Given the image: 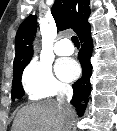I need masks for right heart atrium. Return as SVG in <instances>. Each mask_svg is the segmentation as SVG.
I'll use <instances>...</instances> for the list:
<instances>
[{
  "instance_id": "d8ad5b80",
  "label": "right heart atrium",
  "mask_w": 117,
  "mask_h": 131,
  "mask_svg": "<svg viewBox=\"0 0 117 131\" xmlns=\"http://www.w3.org/2000/svg\"><path fill=\"white\" fill-rule=\"evenodd\" d=\"M23 87L31 99L53 97L68 90V85L59 80L48 63L33 60L22 76Z\"/></svg>"
}]
</instances>
